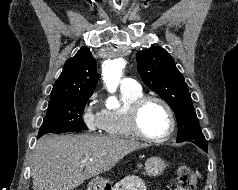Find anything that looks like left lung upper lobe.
Here are the masks:
<instances>
[{
  "label": "left lung upper lobe",
  "instance_id": "left-lung-upper-lobe-1",
  "mask_svg": "<svg viewBox=\"0 0 238 190\" xmlns=\"http://www.w3.org/2000/svg\"><path fill=\"white\" fill-rule=\"evenodd\" d=\"M137 67L144 83L173 109L178 123L177 142L190 141L207 150L188 85L170 54L161 47L139 51Z\"/></svg>",
  "mask_w": 238,
  "mask_h": 190
}]
</instances>
